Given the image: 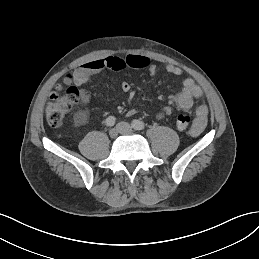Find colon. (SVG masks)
Masks as SVG:
<instances>
[{"label":"colon","mask_w":259,"mask_h":259,"mask_svg":"<svg viewBox=\"0 0 259 259\" xmlns=\"http://www.w3.org/2000/svg\"><path fill=\"white\" fill-rule=\"evenodd\" d=\"M87 100V93L72 85V78L66 77L64 81L57 84L50 95L46 108V120L50 127H59L66 114L77 104ZM175 123L179 130H187L191 125L188 115L178 113L175 115Z\"/></svg>","instance_id":"1"}]
</instances>
